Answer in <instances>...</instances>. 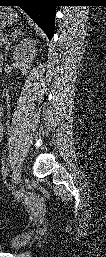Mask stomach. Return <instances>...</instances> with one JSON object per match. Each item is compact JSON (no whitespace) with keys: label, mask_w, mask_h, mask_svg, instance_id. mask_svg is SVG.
<instances>
[{"label":"stomach","mask_w":106,"mask_h":257,"mask_svg":"<svg viewBox=\"0 0 106 257\" xmlns=\"http://www.w3.org/2000/svg\"><path fill=\"white\" fill-rule=\"evenodd\" d=\"M19 19L18 14L11 7H1L0 25L6 27L16 23Z\"/></svg>","instance_id":"1"}]
</instances>
